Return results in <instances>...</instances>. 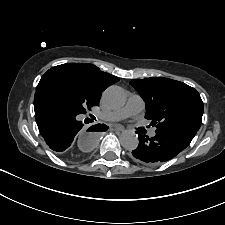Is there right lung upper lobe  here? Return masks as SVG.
<instances>
[{
	"mask_svg": "<svg viewBox=\"0 0 225 225\" xmlns=\"http://www.w3.org/2000/svg\"><path fill=\"white\" fill-rule=\"evenodd\" d=\"M48 73H62L69 76L88 90L96 105H99L101 92L119 81L116 76L101 71L95 65L85 63L58 65L49 69L46 74Z\"/></svg>",
	"mask_w": 225,
	"mask_h": 225,
	"instance_id": "obj_1",
	"label": "right lung upper lobe"
}]
</instances>
